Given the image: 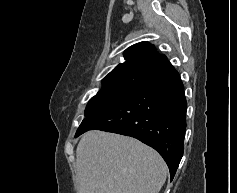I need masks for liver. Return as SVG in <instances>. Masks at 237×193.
<instances>
[{
	"label": "liver",
	"instance_id": "obj_1",
	"mask_svg": "<svg viewBox=\"0 0 237 193\" xmlns=\"http://www.w3.org/2000/svg\"><path fill=\"white\" fill-rule=\"evenodd\" d=\"M75 172L77 193H159L167 166L135 138L89 131L78 143Z\"/></svg>",
	"mask_w": 237,
	"mask_h": 193
}]
</instances>
